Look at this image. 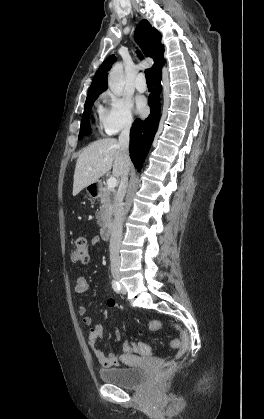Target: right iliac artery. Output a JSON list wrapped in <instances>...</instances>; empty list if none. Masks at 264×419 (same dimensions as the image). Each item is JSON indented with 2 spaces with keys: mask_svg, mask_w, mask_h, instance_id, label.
Masks as SVG:
<instances>
[{
  "mask_svg": "<svg viewBox=\"0 0 264 419\" xmlns=\"http://www.w3.org/2000/svg\"><path fill=\"white\" fill-rule=\"evenodd\" d=\"M112 288L116 293H120V285L116 280L112 281Z\"/></svg>",
  "mask_w": 264,
  "mask_h": 419,
  "instance_id": "1",
  "label": "right iliac artery"
}]
</instances>
